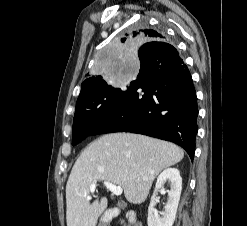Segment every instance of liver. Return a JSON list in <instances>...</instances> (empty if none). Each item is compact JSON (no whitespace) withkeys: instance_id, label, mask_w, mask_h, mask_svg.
I'll return each instance as SVG.
<instances>
[{"instance_id":"obj_1","label":"liver","mask_w":247,"mask_h":226,"mask_svg":"<svg viewBox=\"0 0 247 226\" xmlns=\"http://www.w3.org/2000/svg\"><path fill=\"white\" fill-rule=\"evenodd\" d=\"M184 157L173 143L139 134L112 133L93 141L75 162L66 185L67 226H96L107 198L90 204V186L107 181L120 186L133 204L143 203L156 176Z\"/></svg>"}]
</instances>
